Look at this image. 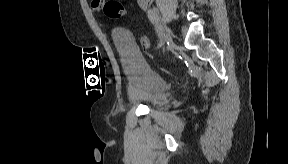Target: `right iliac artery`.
I'll list each match as a JSON object with an SVG mask.
<instances>
[{
	"label": "right iliac artery",
	"instance_id": "82829eb1",
	"mask_svg": "<svg viewBox=\"0 0 288 164\" xmlns=\"http://www.w3.org/2000/svg\"><path fill=\"white\" fill-rule=\"evenodd\" d=\"M148 17H149L151 23L154 25L156 31L158 32L159 43H158V45H157V48H159V47L162 46V44H163L164 42H163L162 33H161V26H160V24H159V22H158V17H157V15L155 14V12H153V11H149V12H148Z\"/></svg>",
	"mask_w": 288,
	"mask_h": 164
}]
</instances>
